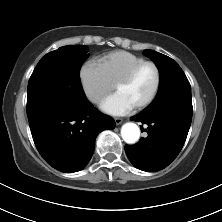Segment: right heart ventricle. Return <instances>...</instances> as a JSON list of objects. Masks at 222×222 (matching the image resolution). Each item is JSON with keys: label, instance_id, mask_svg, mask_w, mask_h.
<instances>
[{"label": "right heart ventricle", "instance_id": "right-heart-ventricle-1", "mask_svg": "<svg viewBox=\"0 0 222 222\" xmlns=\"http://www.w3.org/2000/svg\"><path fill=\"white\" fill-rule=\"evenodd\" d=\"M143 61H145L143 57L127 51L117 50L102 56L98 62L108 79L115 85L135 65Z\"/></svg>", "mask_w": 222, "mask_h": 222}]
</instances>
